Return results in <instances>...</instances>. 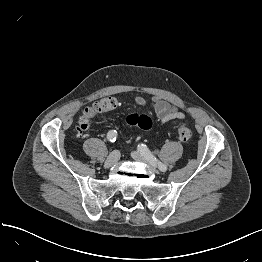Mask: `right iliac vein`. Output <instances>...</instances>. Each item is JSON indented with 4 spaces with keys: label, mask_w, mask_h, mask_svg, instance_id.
Segmentation results:
<instances>
[{
    "label": "right iliac vein",
    "mask_w": 262,
    "mask_h": 262,
    "mask_svg": "<svg viewBox=\"0 0 262 262\" xmlns=\"http://www.w3.org/2000/svg\"><path fill=\"white\" fill-rule=\"evenodd\" d=\"M120 158V153L117 150H114L113 152L110 153V155L107 157L105 163H104V167L105 168H110L112 167L114 164L117 163V161Z\"/></svg>",
    "instance_id": "63e3f726"
}]
</instances>
